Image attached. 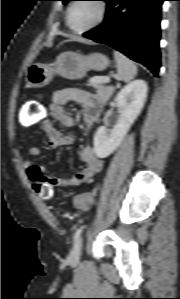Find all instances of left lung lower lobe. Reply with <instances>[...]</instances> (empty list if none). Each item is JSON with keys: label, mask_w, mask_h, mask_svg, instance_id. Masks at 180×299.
I'll list each match as a JSON object with an SVG mask.
<instances>
[{"label": "left lung lower lobe", "mask_w": 180, "mask_h": 299, "mask_svg": "<svg viewBox=\"0 0 180 299\" xmlns=\"http://www.w3.org/2000/svg\"><path fill=\"white\" fill-rule=\"evenodd\" d=\"M103 1L107 3L104 22L83 36L110 45L157 76L161 5L165 0Z\"/></svg>", "instance_id": "obj_1"}]
</instances>
